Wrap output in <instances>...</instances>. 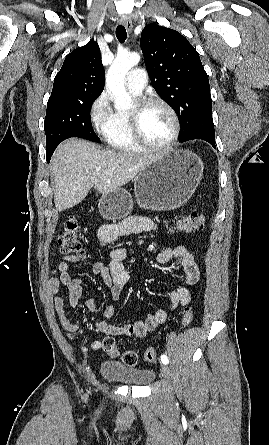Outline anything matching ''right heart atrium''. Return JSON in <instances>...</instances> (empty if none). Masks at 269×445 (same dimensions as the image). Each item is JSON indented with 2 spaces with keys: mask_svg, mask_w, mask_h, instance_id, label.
<instances>
[{
  "mask_svg": "<svg viewBox=\"0 0 269 445\" xmlns=\"http://www.w3.org/2000/svg\"><path fill=\"white\" fill-rule=\"evenodd\" d=\"M112 115V110L109 103V98L106 92H102L91 104L90 118L97 129L108 122Z\"/></svg>",
  "mask_w": 269,
  "mask_h": 445,
  "instance_id": "obj_1",
  "label": "right heart atrium"
}]
</instances>
